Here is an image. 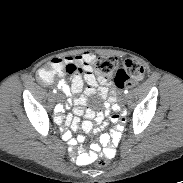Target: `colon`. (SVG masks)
Returning <instances> with one entry per match:
<instances>
[{"instance_id":"5ec220e1","label":"colon","mask_w":183,"mask_h":183,"mask_svg":"<svg viewBox=\"0 0 183 183\" xmlns=\"http://www.w3.org/2000/svg\"><path fill=\"white\" fill-rule=\"evenodd\" d=\"M95 67L99 73L107 78H111L117 89L134 86L140 81L145 73L144 66L132 60L119 61L116 57H99L95 62ZM65 72H69L66 68ZM58 72L54 69L40 70L39 80L45 84L50 83ZM88 162L98 167H104L108 164L105 156L89 158Z\"/></svg>"}]
</instances>
